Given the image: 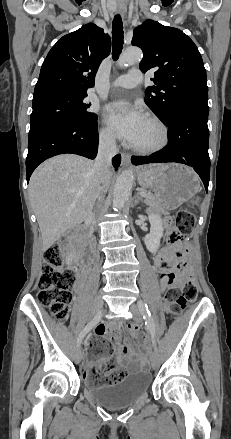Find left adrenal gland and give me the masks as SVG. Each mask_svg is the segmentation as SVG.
Segmentation results:
<instances>
[{"instance_id": "left-adrenal-gland-1", "label": "left adrenal gland", "mask_w": 231, "mask_h": 439, "mask_svg": "<svg viewBox=\"0 0 231 439\" xmlns=\"http://www.w3.org/2000/svg\"><path fill=\"white\" fill-rule=\"evenodd\" d=\"M135 200L134 203L136 204L139 200H142V198L140 197L139 193L137 192V194L135 195Z\"/></svg>"}]
</instances>
